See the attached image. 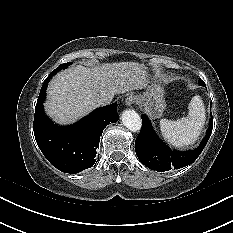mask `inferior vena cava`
I'll use <instances>...</instances> for the list:
<instances>
[{"label": "inferior vena cava", "mask_w": 233, "mask_h": 233, "mask_svg": "<svg viewBox=\"0 0 233 233\" xmlns=\"http://www.w3.org/2000/svg\"><path fill=\"white\" fill-rule=\"evenodd\" d=\"M113 97L111 96H102L98 99V104L99 105H107L110 104L112 101Z\"/></svg>", "instance_id": "obj_1"}]
</instances>
